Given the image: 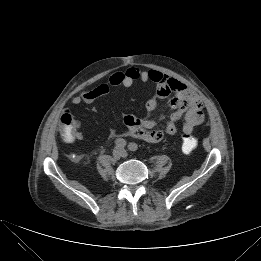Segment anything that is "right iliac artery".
I'll use <instances>...</instances> for the list:
<instances>
[{
	"label": "right iliac artery",
	"mask_w": 261,
	"mask_h": 261,
	"mask_svg": "<svg viewBox=\"0 0 261 261\" xmlns=\"http://www.w3.org/2000/svg\"><path fill=\"white\" fill-rule=\"evenodd\" d=\"M114 143L117 147H125L126 146V141L124 139H121V138L116 139Z\"/></svg>",
	"instance_id": "1"
}]
</instances>
